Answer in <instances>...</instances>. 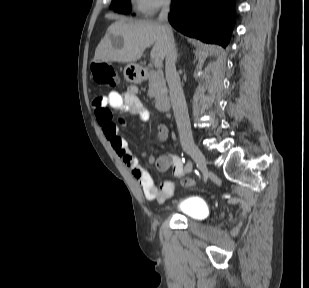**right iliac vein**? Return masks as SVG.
<instances>
[{
    "instance_id": "1",
    "label": "right iliac vein",
    "mask_w": 309,
    "mask_h": 288,
    "mask_svg": "<svg viewBox=\"0 0 309 288\" xmlns=\"http://www.w3.org/2000/svg\"><path fill=\"white\" fill-rule=\"evenodd\" d=\"M185 151L193 158V160L196 162V160H201L203 163V168H201L205 173L207 171V161L204 156V154L199 150L198 147L195 145H189L185 148Z\"/></svg>"
}]
</instances>
